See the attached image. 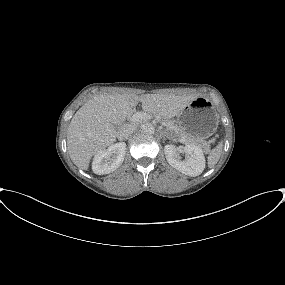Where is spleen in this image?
<instances>
[{
	"mask_svg": "<svg viewBox=\"0 0 285 285\" xmlns=\"http://www.w3.org/2000/svg\"><path fill=\"white\" fill-rule=\"evenodd\" d=\"M223 144L222 142L219 143L218 146H216L212 151L210 152L208 156V166L210 168L214 167L217 162L219 161L221 154H222Z\"/></svg>",
	"mask_w": 285,
	"mask_h": 285,
	"instance_id": "spleen-1",
	"label": "spleen"
}]
</instances>
